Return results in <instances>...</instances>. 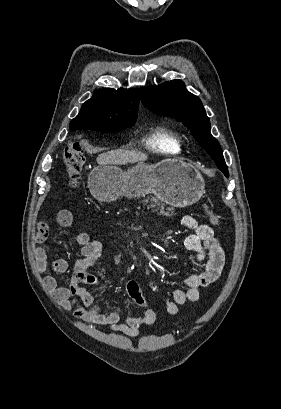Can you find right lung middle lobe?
Segmentation results:
<instances>
[{"label": "right lung middle lobe", "instance_id": "1", "mask_svg": "<svg viewBox=\"0 0 281 409\" xmlns=\"http://www.w3.org/2000/svg\"><path fill=\"white\" fill-rule=\"evenodd\" d=\"M132 125L128 126H118V127H99V126H90V127H84L83 129H91L94 131H99V132H117L123 129H126L128 127H131Z\"/></svg>", "mask_w": 281, "mask_h": 409}]
</instances>
